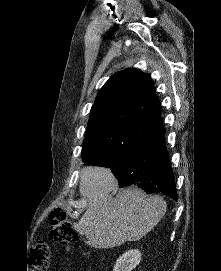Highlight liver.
Masks as SVG:
<instances>
[{
	"mask_svg": "<svg viewBox=\"0 0 221 271\" xmlns=\"http://www.w3.org/2000/svg\"><path fill=\"white\" fill-rule=\"evenodd\" d=\"M117 179L107 167H82L80 195L87 199V209L74 227L86 235L91 247H115L124 241H138L163 217L167 205L161 195H146L130 185L118 191Z\"/></svg>",
	"mask_w": 221,
	"mask_h": 271,
	"instance_id": "obj_1",
	"label": "liver"
}]
</instances>
